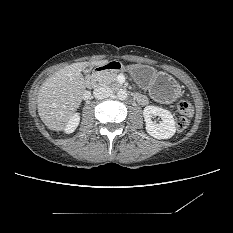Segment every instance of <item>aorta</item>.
<instances>
[{"mask_svg":"<svg viewBox=\"0 0 233 233\" xmlns=\"http://www.w3.org/2000/svg\"><path fill=\"white\" fill-rule=\"evenodd\" d=\"M128 94H127V91L126 90H123V89H120L118 92H117V97L120 99V100H125L127 98Z\"/></svg>","mask_w":233,"mask_h":233,"instance_id":"1","label":"aorta"}]
</instances>
